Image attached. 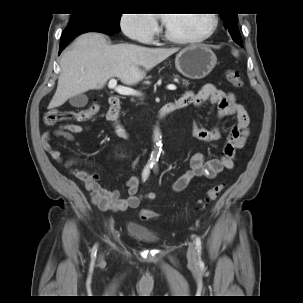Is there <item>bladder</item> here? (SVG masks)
Segmentation results:
<instances>
[{"mask_svg":"<svg viewBox=\"0 0 303 303\" xmlns=\"http://www.w3.org/2000/svg\"><path fill=\"white\" fill-rule=\"evenodd\" d=\"M128 234L145 243L154 244L159 241L157 235L151 232L148 227L136 222H132L128 225Z\"/></svg>","mask_w":303,"mask_h":303,"instance_id":"obj_1","label":"bladder"}]
</instances>
